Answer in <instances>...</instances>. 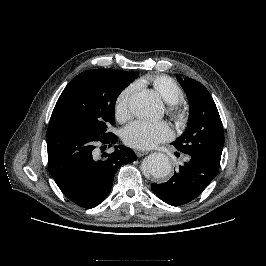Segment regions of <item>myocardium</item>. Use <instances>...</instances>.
Returning a JSON list of instances; mask_svg holds the SVG:
<instances>
[{"label": "myocardium", "mask_w": 266, "mask_h": 266, "mask_svg": "<svg viewBox=\"0 0 266 266\" xmlns=\"http://www.w3.org/2000/svg\"><path fill=\"white\" fill-rule=\"evenodd\" d=\"M168 113L177 121H183L185 119V112L179 104L169 105Z\"/></svg>", "instance_id": "f54148a6"}]
</instances>
